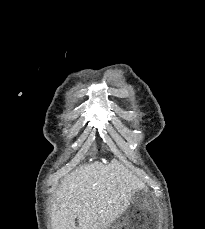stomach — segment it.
I'll return each instance as SVG.
<instances>
[{"instance_id": "obj_1", "label": "stomach", "mask_w": 205, "mask_h": 229, "mask_svg": "<svg viewBox=\"0 0 205 229\" xmlns=\"http://www.w3.org/2000/svg\"><path fill=\"white\" fill-rule=\"evenodd\" d=\"M107 229H160L159 208L148 197L134 198Z\"/></svg>"}]
</instances>
